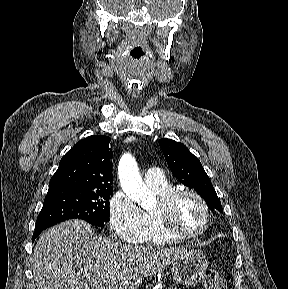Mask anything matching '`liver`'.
I'll list each match as a JSON object with an SVG mask.
<instances>
[{"label":"liver","instance_id":"1","mask_svg":"<svg viewBox=\"0 0 288 289\" xmlns=\"http://www.w3.org/2000/svg\"><path fill=\"white\" fill-rule=\"evenodd\" d=\"M187 252L120 244L94 236L89 223L73 219L43 232L33 252V275L37 289H90L75 271L79 266L100 289H137L142 278L156 275Z\"/></svg>","mask_w":288,"mask_h":289}]
</instances>
